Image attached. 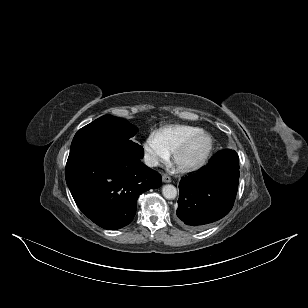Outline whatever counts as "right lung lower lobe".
Listing matches in <instances>:
<instances>
[{"label":"right lung lower lobe","mask_w":308,"mask_h":308,"mask_svg":"<svg viewBox=\"0 0 308 308\" xmlns=\"http://www.w3.org/2000/svg\"><path fill=\"white\" fill-rule=\"evenodd\" d=\"M65 177L79 209L108 230L128 225L139 195L161 185L158 172L139 157L117 150L69 154Z\"/></svg>","instance_id":"right-lung-lower-lobe-1"}]
</instances>
